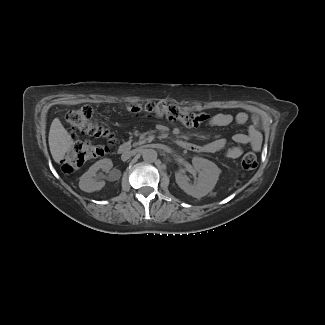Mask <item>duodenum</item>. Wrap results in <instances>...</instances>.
Returning <instances> with one entry per match:
<instances>
[{"instance_id": "1", "label": "duodenum", "mask_w": 325, "mask_h": 325, "mask_svg": "<svg viewBox=\"0 0 325 325\" xmlns=\"http://www.w3.org/2000/svg\"><path fill=\"white\" fill-rule=\"evenodd\" d=\"M176 145L181 148V149H187V148H191L192 145L186 141H181V140H178L176 142ZM131 151V145L130 144H127V143H124V144H121L118 148V153L120 155H126L128 154L129 152Z\"/></svg>"}]
</instances>
